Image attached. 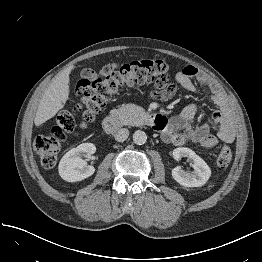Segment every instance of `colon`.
<instances>
[{
    "label": "colon",
    "mask_w": 262,
    "mask_h": 262,
    "mask_svg": "<svg viewBox=\"0 0 262 262\" xmlns=\"http://www.w3.org/2000/svg\"><path fill=\"white\" fill-rule=\"evenodd\" d=\"M78 83V96L74 103L57 117L48 134L34 138L33 146L46 168L55 165L67 136L74 133L76 119L82 116L83 125L93 120L107 101L124 88L153 84L156 92L165 90L168 83V65L160 59H141L127 64L110 63L100 70L85 69ZM232 160L230 148L222 144L216 155V166L225 169Z\"/></svg>",
    "instance_id": "obj_1"
}]
</instances>
